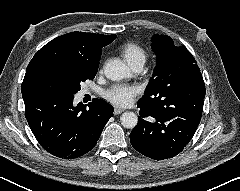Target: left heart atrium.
I'll list each match as a JSON object with an SVG mask.
<instances>
[{
	"label": "left heart atrium",
	"mask_w": 240,
	"mask_h": 191,
	"mask_svg": "<svg viewBox=\"0 0 240 191\" xmlns=\"http://www.w3.org/2000/svg\"><path fill=\"white\" fill-rule=\"evenodd\" d=\"M139 89L134 85L117 84L105 92V98L117 106L130 104L138 94Z\"/></svg>",
	"instance_id": "obj_1"
}]
</instances>
